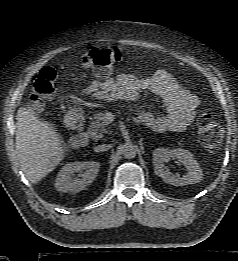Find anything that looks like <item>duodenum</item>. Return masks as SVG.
<instances>
[{"label":"duodenum","instance_id":"1","mask_svg":"<svg viewBox=\"0 0 238 261\" xmlns=\"http://www.w3.org/2000/svg\"><path fill=\"white\" fill-rule=\"evenodd\" d=\"M68 125L77 132L70 138L69 143L72 147L80 148L87 144L88 134L84 130V119L82 115L74 113L67 118Z\"/></svg>","mask_w":238,"mask_h":261}]
</instances>
